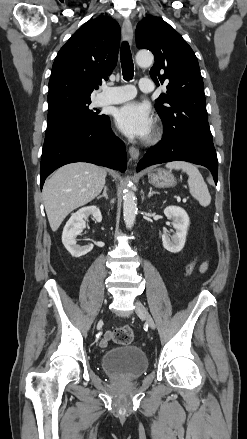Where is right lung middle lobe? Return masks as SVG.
<instances>
[{"instance_id": "right-lung-middle-lobe-1", "label": "right lung middle lobe", "mask_w": 247, "mask_h": 439, "mask_svg": "<svg viewBox=\"0 0 247 439\" xmlns=\"http://www.w3.org/2000/svg\"><path fill=\"white\" fill-rule=\"evenodd\" d=\"M91 101H72L48 111L46 137L55 133L87 126H96L104 121L106 115L90 108Z\"/></svg>"}]
</instances>
